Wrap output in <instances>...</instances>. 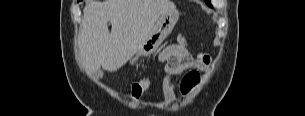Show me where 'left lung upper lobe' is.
I'll use <instances>...</instances> for the list:
<instances>
[{
    "label": "left lung upper lobe",
    "instance_id": "obj_1",
    "mask_svg": "<svg viewBox=\"0 0 305 116\" xmlns=\"http://www.w3.org/2000/svg\"><path fill=\"white\" fill-rule=\"evenodd\" d=\"M206 2L208 3V5H210V2H209V0H206Z\"/></svg>",
    "mask_w": 305,
    "mask_h": 116
}]
</instances>
